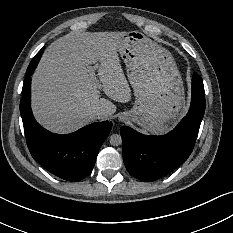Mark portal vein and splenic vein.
<instances>
[{"instance_id": "18ae733b", "label": "portal vein and splenic vein", "mask_w": 233, "mask_h": 233, "mask_svg": "<svg viewBox=\"0 0 233 233\" xmlns=\"http://www.w3.org/2000/svg\"><path fill=\"white\" fill-rule=\"evenodd\" d=\"M92 81H93L94 83L98 84V80H97V78H96L95 76L92 77Z\"/></svg>"}]
</instances>
